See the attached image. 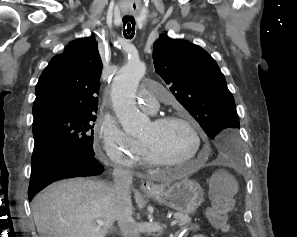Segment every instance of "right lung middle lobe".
<instances>
[{
  "instance_id": "obj_1",
  "label": "right lung middle lobe",
  "mask_w": 297,
  "mask_h": 237,
  "mask_svg": "<svg viewBox=\"0 0 297 237\" xmlns=\"http://www.w3.org/2000/svg\"><path fill=\"white\" fill-rule=\"evenodd\" d=\"M95 120V113H58L33 122L35 144L32 158L46 150L60 147H72L94 155Z\"/></svg>"
}]
</instances>
